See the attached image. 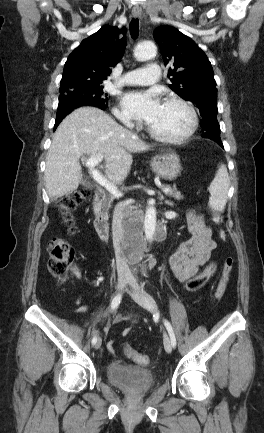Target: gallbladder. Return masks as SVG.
<instances>
[{
    "instance_id": "obj_1",
    "label": "gallbladder",
    "mask_w": 264,
    "mask_h": 433,
    "mask_svg": "<svg viewBox=\"0 0 264 433\" xmlns=\"http://www.w3.org/2000/svg\"><path fill=\"white\" fill-rule=\"evenodd\" d=\"M82 184H83V185H86V186H88V187H90V185L87 183L86 180H82Z\"/></svg>"
}]
</instances>
